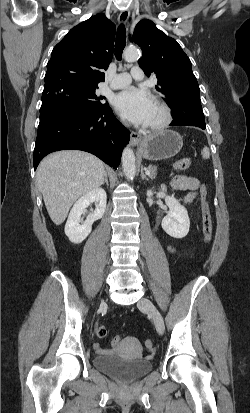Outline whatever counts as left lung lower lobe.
I'll use <instances>...</instances> for the list:
<instances>
[{"label": "left lung lower lobe", "mask_w": 250, "mask_h": 413, "mask_svg": "<svg viewBox=\"0 0 250 413\" xmlns=\"http://www.w3.org/2000/svg\"><path fill=\"white\" fill-rule=\"evenodd\" d=\"M170 108L172 109V117L174 119L170 126L206 128L200 97H192L186 101H177Z\"/></svg>", "instance_id": "left-lung-lower-lobe-1"}]
</instances>
